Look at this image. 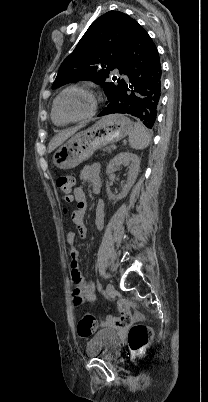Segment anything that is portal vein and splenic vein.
<instances>
[{"label": "portal vein and splenic vein", "instance_id": "portal-vein-and-splenic-vein-1", "mask_svg": "<svg viewBox=\"0 0 208 402\" xmlns=\"http://www.w3.org/2000/svg\"><path fill=\"white\" fill-rule=\"evenodd\" d=\"M113 150H116V146H112Z\"/></svg>", "mask_w": 208, "mask_h": 402}]
</instances>
